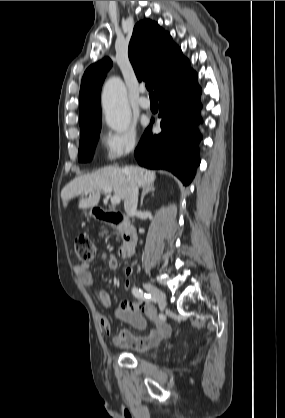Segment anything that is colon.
Segmentation results:
<instances>
[{
  "mask_svg": "<svg viewBox=\"0 0 285 418\" xmlns=\"http://www.w3.org/2000/svg\"><path fill=\"white\" fill-rule=\"evenodd\" d=\"M125 221H131L130 218H125ZM74 247L78 259L81 262H87L93 258L96 253V246L89 235H79L75 238Z\"/></svg>",
  "mask_w": 285,
  "mask_h": 418,
  "instance_id": "colon-1",
  "label": "colon"
}]
</instances>
